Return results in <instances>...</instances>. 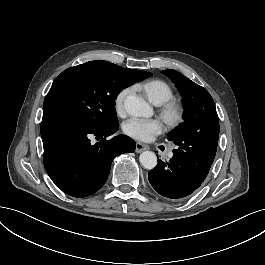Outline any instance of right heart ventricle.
<instances>
[{"label": "right heart ventricle", "instance_id": "1", "mask_svg": "<svg viewBox=\"0 0 265 265\" xmlns=\"http://www.w3.org/2000/svg\"><path fill=\"white\" fill-rule=\"evenodd\" d=\"M135 88L141 91L150 102L161 105L173 97L171 86L162 79L150 78L135 84Z\"/></svg>", "mask_w": 265, "mask_h": 265}]
</instances>
